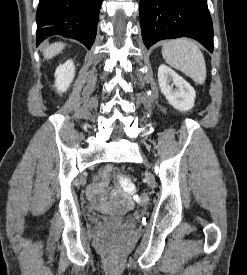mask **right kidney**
Masks as SVG:
<instances>
[{
  "label": "right kidney",
  "mask_w": 247,
  "mask_h": 275,
  "mask_svg": "<svg viewBox=\"0 0 247 275\" xmlns=\"http://www.w3.org/2000/svg\"><path fill=\"white\" fill-rule=\"evenodd\" d=\"M75 76V66L72 60L66 61L55 71V87L59 93L65 92Z\"/></svg>",
  "instance_id": "1"
}]
</instances>
